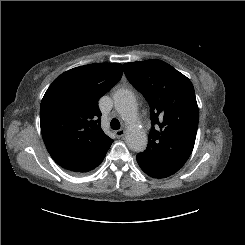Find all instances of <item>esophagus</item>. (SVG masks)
Returning <instances> with one entry per match:
<instances>
[{
    "label": "esophagus",
    "mask_w": 245,
    "mask_h": 245,
    "mask_svg": "<svg viewBox=\"0 0 245 245\" xmlns=\"http://www.w3.org/2000/svg\"><path fill=\"white\" fill-rule=\"evenodd\" d=\"M115 135L117 138H121L125 135V130H123V129L117 130V131H115Z\"/></svg>",
    "instance_id": "34e87169"
}]
</instances>
